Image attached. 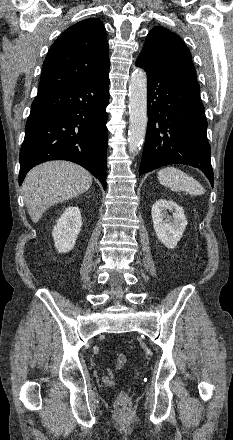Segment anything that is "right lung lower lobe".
<instances>
[{
	"instance_id": "right-lung-lower-lobe-1",
	"label": "right lung lower lobe",
	"mask_w": 233,
	"mask_h": 440,
	"mask_svg": "<svg viewBox=\"0 0 233 440\" xmlns=\"http://www.w3.org/2000/svg\"><path fill=\"white\" fill-rule=\"evenodd\" d=\"M109 72L79 85L38 92L20 150L19 185L35 165L69 160L86 168L106 189Z\"/></svg>"
}]
</instances>
